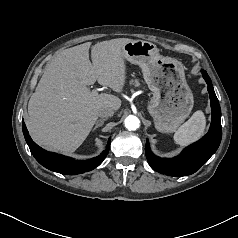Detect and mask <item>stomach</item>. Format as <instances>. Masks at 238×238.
I'll use <instances>...</instances> for the list:
<instances>
[{
	"label": "stomach",
	"instance_id": "1",
	"mask_svg": "<svg viewBox=\"0 0 238 238\" xmlns=\"http://www.w3.org/2000/svg\"><path fill=\"white\" fill-rule=\"evenodd\" d=\"M124 58L142 69L144 80L152 91L148 111L159 132L172 133L189 116L193 94L183 64L160 55L155 44L132 40L123 46Z\"/></svg>",
	"mask_w": 238,
	"mask_h": 238
}]
</instances>
